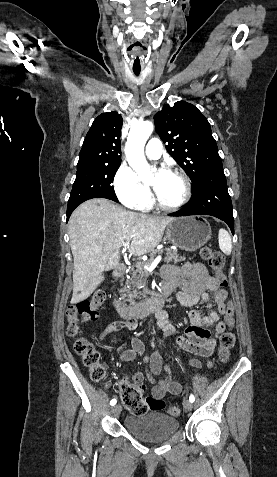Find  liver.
Instances as JSON below:
<instances>
[{
    "label": "liver",
    "mask_w": 277,
    "mask_h": 477,
    "mask_svg": "<svg viewBox=\"0 0 277 477\" xmlns=\"http://www.w3.org/2000/svg\"><path fill=\"white\" fill-rule=\"evenodd\" d=\"M173 220L128 211L104 198L77 207L68 223L74 259L71 303L88 298L104 280L103 272L118 265L125 240H132L130 253L144 255L158 246Z\"/></svg>",
    "instance_id": "1"
}]
</instances>
